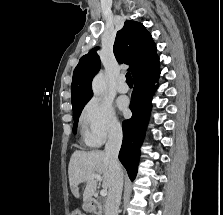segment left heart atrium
Returning <instances> with one entry per match:
<instances>
[{
    "label": "left heart atrium",
    "mask_w": 223,
    "mask_h": 215,
    "mask_svg": "<svg viewBox=\"0 0 223 215\" xmlns=\"http://www.w3.org/2000/svg\"><path fill=\"white\" fill-rule=\"evenodd\" d=\"M119 106L120 107H124V104L122 102L119 101Z\"/></svg>",
    "instance_id": "39dd6f15"
}]
</instances>
